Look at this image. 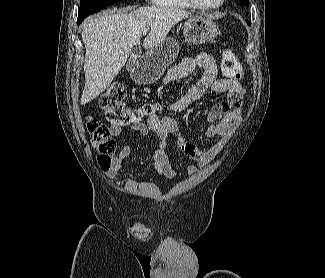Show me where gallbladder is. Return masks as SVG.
Returning a JSON list of instances; mask_svg holds the SVG:
<instances>
[{"mask_svg": "<svg viewBox=\"0 0 325 278\" xmlns=\"http://www.w3.org/2000/svg\"><path fill=\"white\" fill-rule=\"evenodd\" d=\"M141 49L139 47H134L131 52H130V60L127 64V70L131 71L133 68V65L135 64V62L137 61V59L140 57L141 55Z\"/></svg>", "mask_w": 325, "mask_h": 278, "instance_id": "bac80fb5", "label": "gallbladder"}]
</instances>
